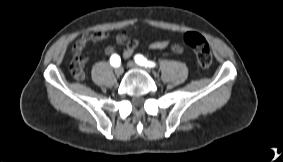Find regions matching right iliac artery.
<instances>
[{
    "label": "right iliac artery",
    "instance_id": "right-iliac-artery-1",
    "mask_svg": "<svg viewBox=\"0 0 283 162\" xmlns=\"http://www.w3.org/2000/svg\"><path fill=\"white\" fill-rule=\"evenodd\" d=\"M121 63V59L120 57L117 55V54H113L111 57H110V64L113 66V67H118Z\"/></svg>",
    "mask_w": 283,
    "mask_h": 162
}]
</instances>
